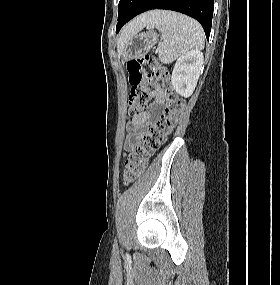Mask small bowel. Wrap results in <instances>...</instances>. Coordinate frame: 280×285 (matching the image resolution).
<instances>
[{
	"instance_id": "small-bowel-1",
	"label": "small bowel",
	"mask_w": 280,
	"mask_h": 285,
	"mask_svg": "<svg viewBox=\"0 0 280 285\" xmlns=\"http://www.w3.org/2000/svg\"><path fill=\"white\" fill-rule=\"evenodd\" d=\"M153 97L151 108L161 107L164 104L165 94L158 84L154 86ZM150 118L151 113L149 110L141 111L133 116L128 129L129 136L125 142L126 151H129L146 134Z\"/></svg>"
}]
</instances>
